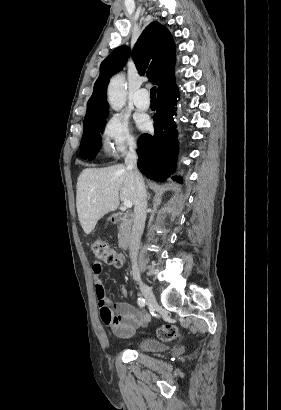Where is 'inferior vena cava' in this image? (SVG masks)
<instances>
[{"mask_svg": "<svg viewBox=\"0 0 281 410\" xmlns=\"http://www.w3.org/2000/svg\"><path fill=\"white\" fill-rule=\"evenodd\" d=\"M136 145L132 144L130 146L129 152L125 158V164L128 170H131L136 184V201L134 207V223L132 226V231L129 241L130 257L132 261V275L133 278L140 279V272L137 265V256L140 245L141 236L144 230L145 219H146V209H147V192L144 185L142 176L137 169V153Z\"/></svg>", "mask_w": 281, "mask_h": 410, "instance_id": "1", "label": "inferior vena cava"}]
</instances>
